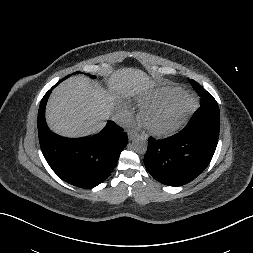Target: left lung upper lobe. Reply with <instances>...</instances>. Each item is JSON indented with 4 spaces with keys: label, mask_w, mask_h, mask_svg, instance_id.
<instances>
[{
    "label": "left lung upper lobe",
    "mask_w": 253,
    "mask_h": 253,
    "mask_svg": "<svg viewBox=\"0 0 253 253\" xmlns=\"http://www.w3.org/2000/svg\"><path fill=\"white\" fill-rule=\"evenodd\" d=\"M190 83L192 84L193 88L200 95L201 103H203L205 106L219 108L216 100L201 85H199L194 80H190Z\"/></svg>",
    "instance_id": "5c2ea615"
}]
</instances>
